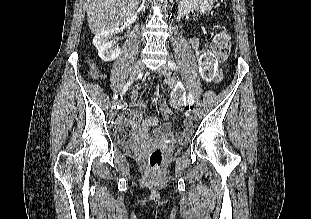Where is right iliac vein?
I'll return each mask as SVG.
<instances>
[{
  "label": "right iliac vein",
  "mask_w": 311,
  "mask_h": 219,
  "mask_svg": "<svg viewBox=\"0 0 311 219\" xmlns=\"http://www.w3.org/2000/svg\"><path fill=\"white\" fill-rule=\"evenodd\" d=\"M144 68V63L142 61H137L134 66H133V69H132V73H131V78H134L135 76H137L139 73H141V71L143 70ZM121 99H122V96L120 99L118 100H115L113 102L114 106H117L121 103Z\"/></svg>",
  "instance_id": "63e3f726"
}]
</instances>
